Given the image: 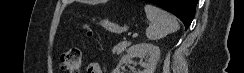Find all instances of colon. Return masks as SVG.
<instances>
[{"mask_svg": "<svg viewBox=\"0 0 244 73\" xmlns=\"http://www.w3.org/2000/svg\"><path fill=\"white\" fill-rule=\"evenodd\" d=\"M82 50L79 47L67 49L60 57V68L66 73H80Z\"/></svg>", "mask_w": 244, "mask_h": 73, "instance_id": "colon-1", "label": "colon"}]
</instances>
